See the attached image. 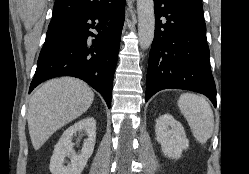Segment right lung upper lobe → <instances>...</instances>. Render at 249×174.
Returning <instances> with one entry per match:
<instances>
[{"instance_id": "obj_1", "label": "right lung upper lobe", "mask_w": 249, "mask_h": 174, "mask_svg": "<svg viewBox=\"0 0 249 174\" xmlns=\"http://www.w3.org/2000/svg\"><path fill=\"white\" fill-rule=\"evenodd\" d=\"M116 0H55L52 20L53 26L67 18L94 12L110 6Z\"/></svg>"}]
</instances>
